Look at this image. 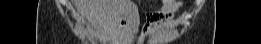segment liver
Listing matches in <instances>:
<instances>
[{"label": "liver", "mask_w": 261, "mask_h": 44, "mask_svg": "<svg viewBox=\"0 0 261 44\" xmlns=\"http://www.w3.org/2000/svg\"><path fill=\"white\" fill-rule=\"evenodd\" d=\"M74 3L78 10L88 18L89 22L96 25L103 32L113 30H141V25H115L139 23L138 9L136 6L131 8L133 6L131 0H74ZM124 33L117 37L124 39L121 44L132 42L133 35L127 34V31ZM104 40V42H107L106 37Z\"/></svg>", "instance_id": "liver-1"}]
</instances>
